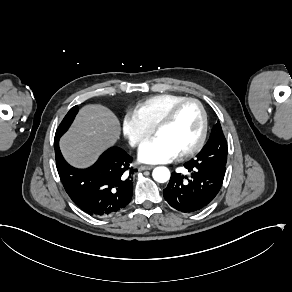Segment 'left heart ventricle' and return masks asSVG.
<instances>
[{
    "instance_id": "left-heart-ventricle-1",
    "label": "left heart ventricle",
    "mask_w": 292,
    "mask_h": 292,
    "mask_svg": "<svg viewBox=\"0 0 292 292\" xmlns=\"http://www.w3.org/2000/svg\"><path fill=\"white\" fill-rule=\"evenodd\" d=\"M200 112L194 103H186L179 108L174 119L157 130L183 151L195 143L200 132Z\"/></svg>"
}]
</instances>
